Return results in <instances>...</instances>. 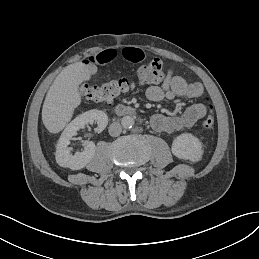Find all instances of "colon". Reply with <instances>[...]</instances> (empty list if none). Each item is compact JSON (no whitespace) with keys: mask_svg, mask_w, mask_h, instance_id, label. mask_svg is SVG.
<instances>
[{"mask_svg":"<svg viewBox=\"0 0 259 259\" xmlns=\"http://www.w3.org/2000/svg\"><path fill=\"white\" fill-rule=\"evenodd\" d=\"M163 65L159 59L141 66L137 73V82L140 85H158L164 80ZM135 87V82L120 78L103 82L96 85L84 84L81 87L82 95L89 101L94 103H111L121 94ZM214 124V117L209 106L208 114L200 121L203 129H209Z\"/></svg>","mask_w":259,"mask_h":259,"instance_id":"colon-1","label":"colon"}]
</instances>
